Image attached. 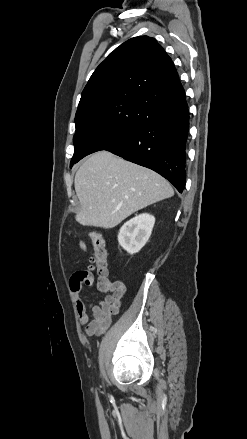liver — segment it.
Returning <instances> with one entry per match:
<instances>
[{"instance_id":"6515ba94","label":"liver","mask_w":247,"mask_h":439,"mask_svg":"<svg viewBox=\"0 0 247 439\" xmlns=\"http://www.w3.org/2000/svg\"><path fill=\"white\" fill-rule=\"evenodd\" d=\"M78 222L113 228L134 212L170 198L174 191L158 173L108 151L91 155L75 175Z\"/></svg>"}]
</instances>
